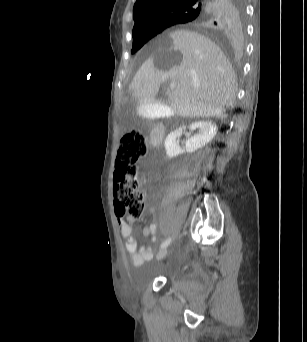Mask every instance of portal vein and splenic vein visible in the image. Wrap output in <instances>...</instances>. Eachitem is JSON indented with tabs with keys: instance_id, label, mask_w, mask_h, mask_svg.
I'll return each mask as SVG.
<instances>
[{
	"instance_id": "18ae733b",
	"label": "portal vein and splenic vein",
	"mask_w": 307,
	"mask_h": 342,
	"mask_svg": "<svg viewBox=\"0 0 307 342\" xmlns=\"http://www.w3.org/2000/svg\"><path fill=\"white\" fill-rule=\"evenodd\" d=\"M170 88H175L176 86V82H171V84H169Z\"/></svg>"
}]
</instances>
